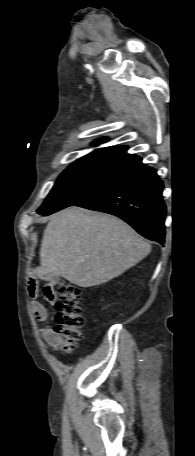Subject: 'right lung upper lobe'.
<instances>
[{"mask_svg":"<svg viewBox=\"0 0 195 456\" xmlns=\"http://www.w3.org/2000/svg\"><path fill=\"white\" fill-rule=\"evenodd\" d=\"M104 141L105 139H100L98 141H95L94 144H98ZM127 149V146L96 149L86 156L78 159L75 163H90L125 170L141 162L142 160L137 155L128 154Z\"/></svg>","mask_w":195,"mask_h":456,"instance_id":"1","label":"right lung upper lobe"}]
</instances>
